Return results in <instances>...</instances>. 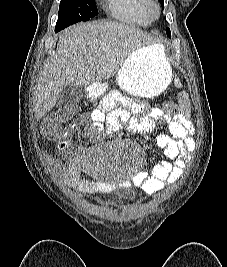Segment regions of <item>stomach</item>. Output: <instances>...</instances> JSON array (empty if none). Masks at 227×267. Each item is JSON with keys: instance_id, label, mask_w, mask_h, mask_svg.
<instances>
[{"instance_id": "0dacf381", "label": "stomach", "mask_w": 227, "mask_h": 267, "mask_svg": "<svg viewBox=\"0 0 227 267\" xmlns=\"http://www.w3.org/2000/svg\"><path fill=\"white\" fill-rule=\"evenodd\" d=\"M121 90L138 97H153L164 91L172 80V69L164 54L154 45L135 50L117 72ZM106 90V85L92 84L87 96L96 99Z\"/></svg>"}]
</instances>
